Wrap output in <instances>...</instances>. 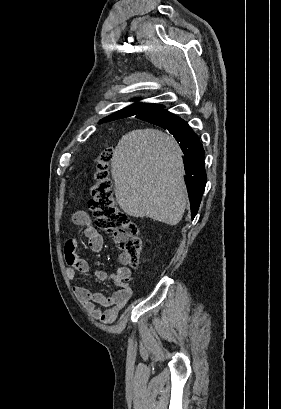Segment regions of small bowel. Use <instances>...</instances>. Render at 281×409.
I'll list each match as a JSON object with an SVG mask.
<instances>
[{"label":"small bowel","mask_w":281,"mask_h":409,"mask_svg":"<svg viewBox=\"0 0 281 409\" xmlns=\"http://www.w3.org/2000/svg\"><path fill=\"white\" fill-rule=\"evenodd\" d=\"M73 222L84 228V235L91 251L94 253L101 252L103 248V238L93 226L89 215L84 211H76L73 215ZM77 246L78 242L76 239H69L64 247L65 259L68 265L67 275L70 279H73L77 272L87 273L90 270L89 263L77 256ZM94 275L97 281H110L119 287V289L107 296L84 286L76 285L74 287V293L93 318L104 323H112L116 320L132 296L133 290L129 283L132 277V269L129 266L122 265L113 273L98 269Z\"/></svg>","instance_id":"1"}]
</instances>
